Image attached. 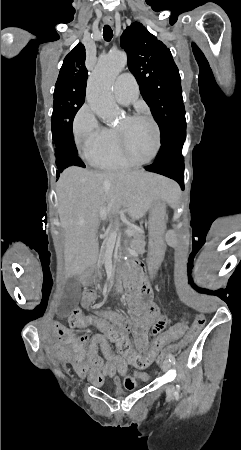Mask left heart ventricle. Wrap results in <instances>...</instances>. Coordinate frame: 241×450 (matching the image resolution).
<instances>
[{
  "label": "left heart ventricle",
  "mask_w": 241,
  "mask_h": 450,
  "mask_svg": "<svg viewBox=\"0 0 241 450\" xmlns=\"http://www.w3.org/2000/svg\"><path fill=\"white\" fill-rule=\"evenodd\" d=\"M154 119L151 115L141 112L134 115L132 121L124 123L125 132L123 139L125 141V148L129 151V168L139 169L140 165H144L145 160L153 159L154 132L157 127H154Z\"/></svg>",
  "instance_id": "obj_1"
}]
</instances>
